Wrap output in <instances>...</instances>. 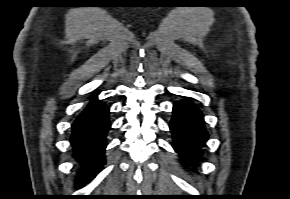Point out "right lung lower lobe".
I'll return each mask as SVG.
<instances>
[{"label": "right lung lower lobe", "mask_w": 290, "mask_h": 199, "mask_svg": "<svg viewBox=\"0 0 290 199\" xmlns=\"http://www.w3.org/2000/svg\"><path fill=\"white\" fill-rule=\"evenodd\" d=\"M109 108L93 97L72 125L74 156L85 170L77 177V186L93 179L105 163L106 134L110 129Z\"/></svg>", "instance_id": "1"}]
</instances>
